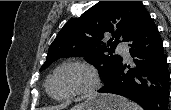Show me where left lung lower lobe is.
I'll return each instance as SVG.
<instances>
[{
	"instance_id": "1",
	"label": "left lung lower lobe",
	"mask_w": 171,
	"mask_h": 110,
	"mask_svg": "<svg viewBox=\"0 0 171 110\" xmlns=\"http://www.w3.org/2000/svg\"><path fill=\"white\" fill-rule=\"evenodd\" d=\"M129 46L136 66L121 61L99 92L127 97L144 110H168L170 73L162 39L150 15Z\"/></svg>"
}]
</instances>
